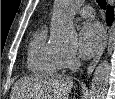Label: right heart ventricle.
Segmentation results:
<instances>
[{"instance_id": "right-heart-ventricle-1", "label": "right heart ventricle", "mask_w": 115, "mask_h": 99, "mask_svg": "<svg viewBox=\"0 0 115 99\" xmlns=\"http://www.w3.org/2000/svg\"><path fill=\"white\" fill-rule=\"evenodd\" d=\"M63 52L47 42V31L38 29L32 36L27 52V67L33 74L50 76L62 70Z\"/></svg>"}]
</instances>
